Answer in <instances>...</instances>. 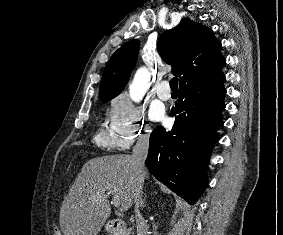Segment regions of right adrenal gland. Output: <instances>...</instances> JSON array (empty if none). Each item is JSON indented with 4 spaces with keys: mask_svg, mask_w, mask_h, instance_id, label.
Listing matches in <instances>:
<instances>
[{
    "mask_svg": "<svg viewBox=\"0 0 283 235\" xmlns=\"http://www.w3.org/2000/svg\"><path fill=\"white\" fill-rule=\"evenodd\" d=\"M146 196L142 199L140 206L143 207L144 206V202H145Z\"/></svg>",
    "mask_w": 283,
    "mask_h": 235,
    "instance_id": "obj_1",
    "label": "right adrenal gland"
}]
</instances>
